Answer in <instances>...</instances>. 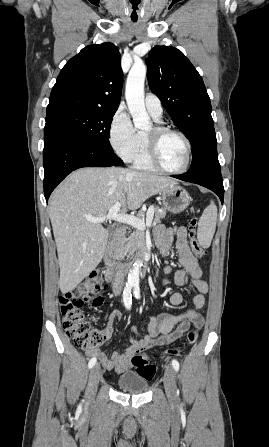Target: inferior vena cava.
Segmentation results:
<instances>
[{
	"mask_svg": "<svg viewBox=\"0 0 269 447\" xmlns=\"http://www.w3.org/2000/svg\"><path fill=\"white\" fill-rule=\"evenodd\" d=\"M123 283H124V273H123L122 265H119V267L115 273V279L112 283L114 293H120V291H122Z\"/></svg>",
	"mask_w": 269,
	"mask_h": 447,
	"instance_id": "obj_1",
	"label": "inferior vena cava"
}]
</instances>
